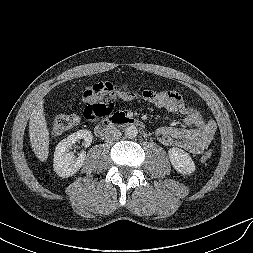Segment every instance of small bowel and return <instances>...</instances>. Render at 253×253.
<instances>
[{"label":"small bowel","instance_id":"1","mask_svg":"<svg viewBox=\"0 0 253 253\" xmlns=\"http://www.w3.org/2000/svg\"><path fill=\"white\" fill-rule=\"evenodd\" d=\"M105 94L126 101L132 100L135 96L126 86L109 81L99 82L84 91L83 99L89 104L86 110L94 103H102L112 112L113 101L104 98ZM145 100L158 108L183 115L184 128L162 126L156 130V137L162 144L181 147L192 154H200L208 147L216 132L215 123L206 121L198 111L185 102L180 93L174 90L150 91L145 94Z\"/></svg>","mask_w":253,"mask_h":253}]
</instances>
